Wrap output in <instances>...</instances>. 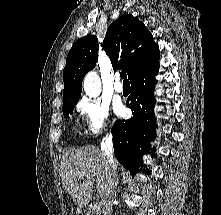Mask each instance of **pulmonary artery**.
I'll list each match as a JSON object with an SVG mask.
<instances>
[{
  "label": "pulmonary artery",
  "instance_id": "obj_1",
  "mask_svg": "<svg viewBox=\"0 0 221 215\" xmlns=\"http://www.w3.org/2000/svg\"><path fill=\"white\" fill-rule=\"evenodd\" d=\"M114 89L118 93L123 92L124 87H123L122 82L120 81L119 74H116V76H115Z\"/></svg>",
  "mask_w": 221,
  "mask_h": 215
}]
</instances>
